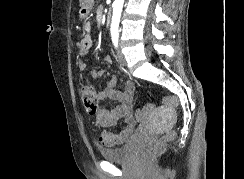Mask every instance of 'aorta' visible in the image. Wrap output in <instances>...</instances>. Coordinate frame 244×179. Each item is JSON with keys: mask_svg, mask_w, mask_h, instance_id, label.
<instances>
[{"mask_svg": "<svg viewBox=\"0 0 244 179\" xmlns=\"http://www.w3.org/2000/svg\"><path fill=\"white\" fill-rule=\"evenodd\" d=\"M124 0H115L114 2V8H113V16H112V22H111V32L113 30H118L119 28V22H120V16L123 8Z\"/></svg>", "mask_w": 244, "mask_h": 179, "instance_id": "762f6f07", "label": "aorta"}]
</instances>
